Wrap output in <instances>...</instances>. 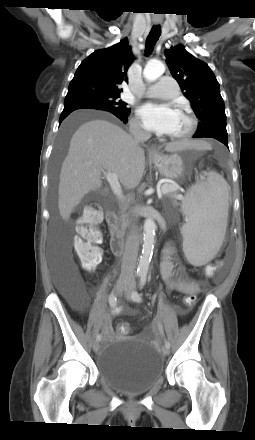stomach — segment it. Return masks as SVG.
I'll return each instance as SVG.
<instances>
[{"instance_id":"obj_1","label":"stomach","mask_w":255,"mask_h":440,"mask_svg":"<svg viewBox=\"0 0 255 440\" xmlns=\"http://www.w3.org/2000/svg\"><path fill=\"white\" fill-rule=\"evenodd\" d=\"M151 161L160 174L168 179H178L184 173L183 160L178 154H158L152 156Z\"/></svg>"}]
</instances>
